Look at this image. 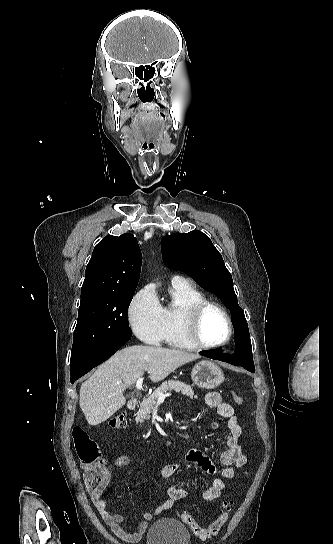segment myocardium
Instances as JSON below:
<instances>
[{
	"label": "myocardium",
	"mask_w": 333,
	"mask_h": 544,
	"mask_svg": "<svg viewBox=\"0 0 333 544\" xmlns=\"http://www.w3.org/2000/svg\"><path fill=\"white\" fill-rule=\"evenodd\" d=\"M214 307L218 309L225 317L228 326V335L222 342L208 344L202 341L200 337V322L205 311ZM183 328L187 339L196 347L201 349H215L227 345L234 333V326L231 316L227 309L218 301L211 299H203L191 305L183 315Z\"/></svg>",
	"instance_id": "obj_1"
}]
</instances>
